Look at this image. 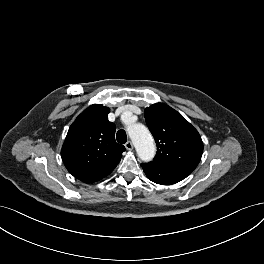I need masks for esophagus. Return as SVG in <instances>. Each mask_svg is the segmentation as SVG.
<instances>
[{
  "instance_id": "obj_1",
  "label": "esophagus",
  "mask_w": 264,
  "mask_h": 264,
  "mask_svg": "<svg viewBox=\"0 0 264 264\" xmlns=\"http://www.w3.org/2000/svg\"><path fill=\"white\" fill-rule=\"evenodd\" d=\"M125 147L129 151L133 150L134 148L133 143L131 141L126 142Z\"/></svg>"
}]
</instances>
